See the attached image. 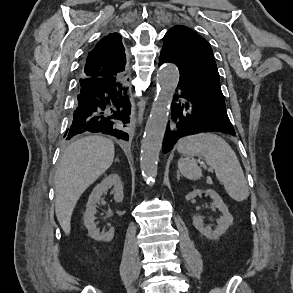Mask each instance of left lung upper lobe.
I'll use <instances>...</instances> for the list:
<instances>
[{
	"label": "left lung upper lobe",
	"instance_id": "left-lung-upper-lobe-1",
	"mask_svg": "<svg viewBox=\"0 0 293 293\" xmlns=\"http://www.w3.org/2000/svg\"><path fill=\"white\" fill-rule=\"evenodd\" d=\"M160 56L178 66L180 84L224 101L212 49L202 36L186 26H174L164 36Z\"/></svg>",
	"mask_w": 293,
	"mask_h": 293
}]
</instances>
